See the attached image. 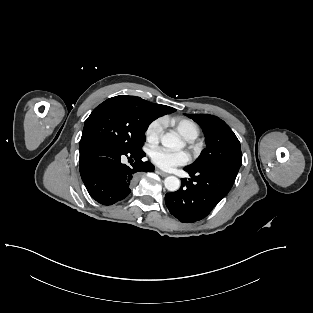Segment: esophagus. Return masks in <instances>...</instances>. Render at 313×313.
I'll use <instances>...</instances> for the list:
<instances>
[{
    "label": "esophagus",
    "instance_id": "1",
    "mask_svg": "<svg viewBox=\"0 0 313 313\" xmlns=\"http://www.w3.org/2000/svg\"><path fill=\"white\" fill-rule=\"evenodd\" d=\"M157 173H158L159 175H161L162 177H166V176L169 175L168 173L163 172V171H161V170H157Z\"/></svg>",
    "mask_w": 313,
    "mask_h": 313
}]
</instances>
